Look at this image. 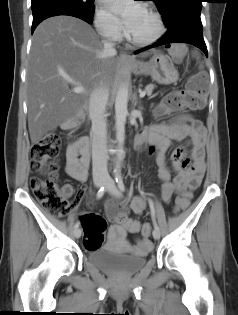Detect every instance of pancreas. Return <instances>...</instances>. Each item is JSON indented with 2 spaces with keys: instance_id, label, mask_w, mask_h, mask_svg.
<instances>
[{
  "instance_id": "obj_1",
  "label": "pancreas",
  "mask_w": 238,
  "mask_h": 315,
  "mask_svg": "<svg viewBox=\"0 0 238 315\" xmlns=\"http://www.w3.org/2000/svg\"><path fill=\"white\" fill-rule=\"evenodd\" d=\"M154 88H155L154 84L147 85L146 88H145V92L147 93V95L150 96L152 94V91H153Z\"/></svg>"
}]
</instances>
